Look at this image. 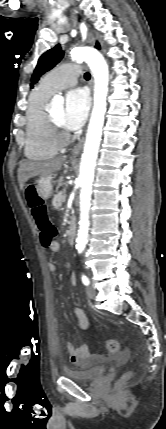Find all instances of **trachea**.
Listing matches in <instances>:
<instances>
[{
	"label": "trachea",
	"mask_w": 166,
	"mask_h": 429,
	"mask_svg": "<svg viewBox=\"0 0 166 429\" xmlns=\"http://www.w3.org/2000/svg\"><path fill=\"white\" fill-rule=\"evenodd\" d=\"M90 76H91V75H90V73H89V72H86V73H85V75H84L85 79H90Z\"/></svg>",
	"instance_id": "3493384b"
}]
</instances>
